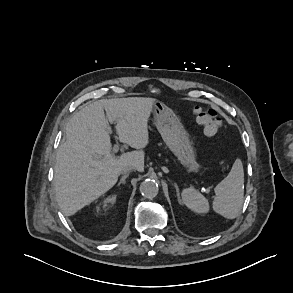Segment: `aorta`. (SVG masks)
Listing matches in <instances>:
<instances>
[{"instance_id": "aorta-1", "label": "aorta", "mask_w": 293, "mask_h": 293, "mask_svg": "<svg viewBox=\"0 0 293 293\" xmlns=\"http://www.w3.org/2000/svg\"><path fill=\"white\" fill-rule=\"evenodd\" d=\"M158 184L153 179H146L140 185V192L146 198H153L158 194Z\"/></svg>"}]
</instances>
